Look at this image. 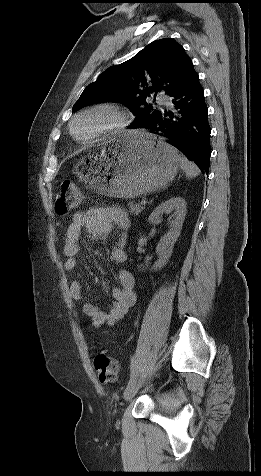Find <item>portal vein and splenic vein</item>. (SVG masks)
<instances>
[{"mask_svg":"<svg viewBox=\"0 0 261 476\" xmlns=\"http://www.w3.org/2000/svg\"><path fill=\"white\" fill-rule=\"evenodd\" d=\"M146 203H147V200H145V199H143V200L141 201V204H142V205H145Z\"/></svg>","mask_w":261,"mask_h":476,"instance_id":"portal-vein-and-splenic-vein-1","label":"portal vein and splenic vein"}]
</instances>
